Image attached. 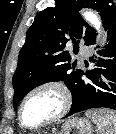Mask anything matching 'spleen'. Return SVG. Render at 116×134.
Segmentation results:
<instances>
[{"label":"spleen","mask_w":116,"mask_h":134,"mask_svg":"<svg viewBox=\"0 0 116 134\" xmlns=\"http://www.w3.org/2000/svg\"><path fill=\"white\" fill-rule=\"evenodd\" d=\"M86 116L97 126L99 134H116V112L108 109L90 110Z\"/></svg>","instance_id":"obj_1"}]
</instances>
